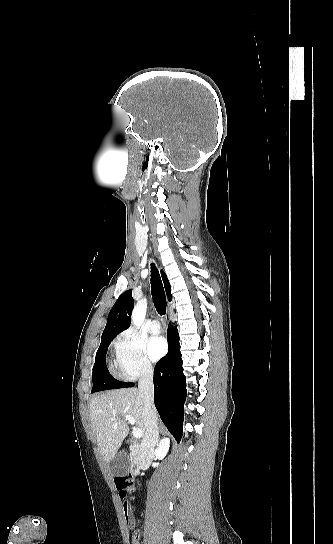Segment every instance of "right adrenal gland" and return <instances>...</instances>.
<instances>
[{
	"label": "right adrenal gland",
	"instance_id": "right-adrenal-gland-1",
	"mask_svg": "<svg viewBox=\"0 0 333 544\" xmlns=\"http://www.w3.org/2000/svg\"><path fill=\"white\" fill-rule=\"evenodd\" d=\"M159 439H160V435H159V428L157 430V439H156V445L158 446V443H159Z\"/></svg>",
	"mask_w": 333,
	"mask_h": 544
}]
</instances>
